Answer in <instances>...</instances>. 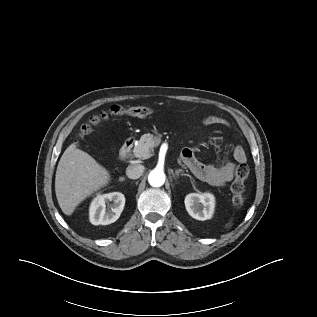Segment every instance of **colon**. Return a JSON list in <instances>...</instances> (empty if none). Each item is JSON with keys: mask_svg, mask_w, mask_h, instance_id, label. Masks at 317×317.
I'll list each match as a JSON object with an SVG mask.
<instances>
[{"mask_svg": "<svg viewBox=\"0 0 317 317\" xmlns=\"http://www.w3.org/2000/svg\"><path fill=\"white\" fill-rule=\"evenodd\" d=\"M152 109L147 106L123 107L119 105L112 106L109 111L101 112L94 116L89 124L82 126L81 135L85 136L91 133L92 127L98 125L110 116L118 117H136L142 118L150 115ZM249 176V168L246 164H239L235 170V179L230 186L232 195V204L236 209L241 208L245 203V181Z\"/></svg>", "mask_w": 317, "mask_h": 317, "instance_id": "obj_1", "label": "colon"}]
</instances>
